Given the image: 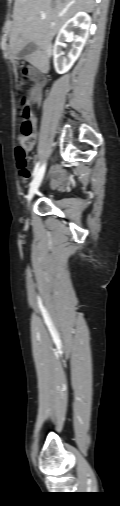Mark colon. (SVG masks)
Here are the masks:
<instances>
[{
  "label": "colon",
  "instance_id": "1",
  "mask_svg": "<svg viewBox=\"0 0 120 506\" xmlns=\"http://www.w3.org/2000/svg\"><path fill=\"white\" fill-rule=\"evenodd\" d=\"M21 69L24 71V74L27 70L25 64H21ZM24 84V80H20V85ZM19 109V127H20V135L17 139L16 146V158H17V168L21 178H27L29 176L28 169V154L32 150L35 142L34 137V121L29 109L27 100L25 97H21L18 102Z\"/></svg>",
  "mask_w": 120,
  "mask_h": 506
}]
</instances>
